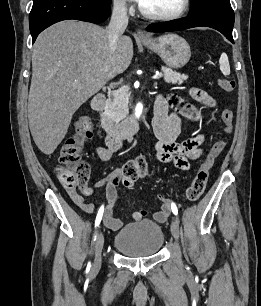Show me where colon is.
Instances as JSON below:
<instances>
[{"instance_id": "colon-1", "label": "colon", "mask_w": 261, "mask_h": 306, "mask_svg": "<svg viewBox=\"0 0 261 306\" xmlns=\"http://www.w3.org/2000/svg\"><path fill=\"white\" fill-rule=\"evenodd\" d=\"M218 84L224 91L234 90L236 83L233 79H219ZM221 120L225 125V132H232L233 113L230 109L221 112ZM93 135L91 122L85 118H79L75 123V134L65 140L59 155V167L57 176L61 184L67 189L79 187L81 190L87 187L89 178V166L81 161V154L86 141ZM226 140H220L213 144L206 159L200 165L191 185L185 191L188 201H197L203 194L209 176V170L214 159L223 152ZM149 174V166L145 158L139 157L128 161L119 170L118 180L127 188H131L135 182L145 178Z\"/></svg>"}]
</instances>
